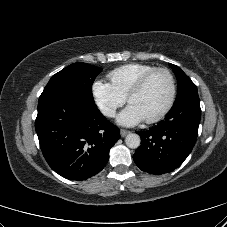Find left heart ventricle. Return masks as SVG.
<instances>
[{"label": "left heart ventricle", "mask_w": 227, "mask_h": 227, "mask_svg": "<svg viewBox=\"0 0 227 227\" xmlns=\"http://www.w3.org/2000/svg\"><path fill=\"white\" fill-rule=\"evenodd\" d=\"M170 96V81L163 72L154 74L141 91L133 95L130 104L133 105L144 119L160 112Z\"/></svg>", "instance_id": "1"}]
</instances>
